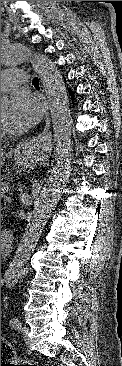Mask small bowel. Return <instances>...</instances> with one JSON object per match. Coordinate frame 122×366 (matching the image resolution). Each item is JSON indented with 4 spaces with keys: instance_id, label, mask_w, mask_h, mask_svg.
Returning <instances> with one entry per match:
<instances>
[{
    "instance_id": "obj_1",
    "label": "small bowel",
    "mask_w": 122,
    "mask_h": 366,
    "mask_svg": "<svg viewBox=\"0 0 122 366\" xmlns=\"http://www.w3.org/2000/svg\"><path fill=\"white\" fill-rule=\"evenodd\" d=\"M18 271L16 268H9L4 276V278L1 280V284H9L12 281H14L17 277ZM9 344V343H8ZM11 347V345L9 344ZM12 349V348H11Z\"/></svg>"
}]
</instances>
